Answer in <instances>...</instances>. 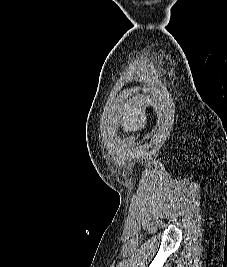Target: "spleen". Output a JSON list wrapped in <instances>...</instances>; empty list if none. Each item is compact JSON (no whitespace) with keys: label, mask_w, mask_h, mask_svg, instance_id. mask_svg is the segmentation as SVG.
Wrapping results in <instances>:
<instances>
[{"label":"spleen","mask_w":227,"mask_h":267,"mask_svg":"<svg viewBox=\"0 0 227 267\" xmlns=\"http://www.w3.org/2000/svg\"><path fill=\"white\" fill-rule=\"evenodd\" d=\"M146 121H151V116H140L139 124H122L120 134H124V137H136V134H141V129H147Z\"/></svg>","instance_id":"obj_1"}]
</instances>
